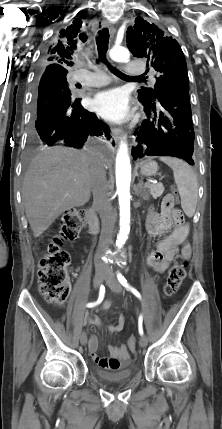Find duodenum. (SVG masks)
I'll return each mask as SVG.
<instances>
[{"instance_id":"obj_1","label":"duodenum","mask_w":222,"mask_h":429,"mask_svg":"<svg viewBox=\"0 0 222 429\" xmlns=\"http://www.w3.org/2000/svg\"><path fill=\"white\" fill-rule=\"evenodd\" d=\"M85 218L90 234L96 235L99 232V220L94 208H87Z\"/></svg>"}]
</instances>
